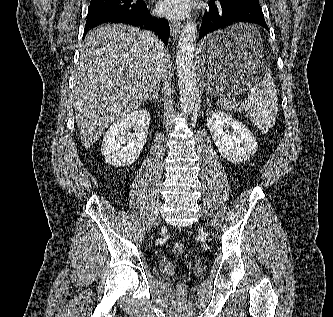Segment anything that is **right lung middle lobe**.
<instances>
[{"mask_svg": "<svg viewBox=\"0 0 333 317\" xmlns=\"http://www.w3.org/2000/svg\"><path fill=\"white\" fill-rule=\"evenodd\" d=\"M138 5V2L132 3V0H91L88 12L109 9H131Z\"/></svg>", "mask_w": 333, "mask_h": 317, "instance_id": "right-lung-middle-lobe-1", "label": "right lung middle lobe"}]
</instances>
